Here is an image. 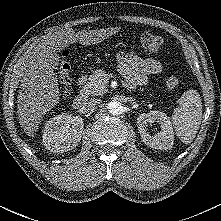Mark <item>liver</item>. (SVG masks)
<instances>
[{
	"instance_id": "liver-1",
	"label": "liver",
	"mask_w": 221,
	"mask_h": 221,
	"mask_svg": "<svg viewBox=\"0 0 221 221\" xmlns=\"http://www.w3.org/2000/svg\"><path fill=\"white\" fill-rule=\"evenodd\" d=\"M119 28L82 30L71 28L44 36L23 60V75L17 97L19 123L28 136H34L43 116L59 101L58 78L54 73L58 52L72 43L98 44L118 32Z\"/></svg>"
}]
</instances>
